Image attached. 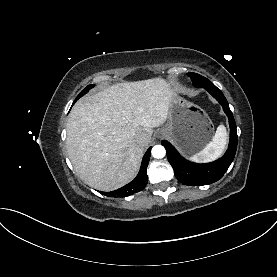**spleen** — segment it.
<instances>
[{"label": "spleen", "mask_w": 277, "mask_h": 277, "mask_svg": "<svg viewBox=\"0 0 277 277\" xmlns=\"http://www.w3.org/2000/svg\"><path fill=\"white\" fill-rule=\"evenodd\" d=\"M227 144V132L224 125H219L215 135L206 147L190 157L194 162H209L218 158L224 151Z\"/></svg>", "instance_id": "1"}]
</instances>
